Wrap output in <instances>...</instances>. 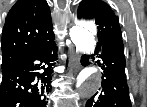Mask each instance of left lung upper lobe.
<instances>
[{
  "label": "left lung upper lobe",
  "instance_id": "1",
  "mask_svg": "<svg viewBox=\"0 0 147 107\" xmlns=\"http://www.w3.org/2000/svg\"><path fill=\"white\" fill-rule=\"evenodd\" d=\"M77 15L81 19L95 20L98 25L97 47L115 39H122L118 18L102 0H82Z\"/></svg>",
  "mask_w": 147,
  "mask_h": 107
}]
</instances>
